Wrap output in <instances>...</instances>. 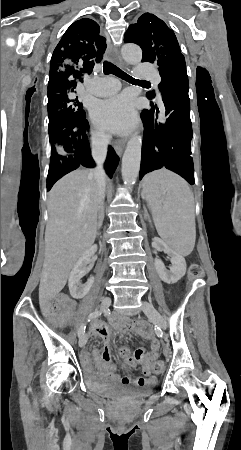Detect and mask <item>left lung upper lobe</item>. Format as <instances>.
Wrapping results in <instances>:
<instances>
[{
    "label": "left lung upper lobe",
    "instance_id": "left-lung-upper-lobe-1",
    "mask_svg": "<svg viewBox=\"0 0 241 450\" xmlns=\"http://www.w3.org/2000/svg\"><path fill=\"white\" fill-rule=\"evenodd\" d=\"M126 43L138 44L142 51V62L156 63L161 76L159 89L162 92L167 79L173 77L182 85L188 86L186 75V64L184 56L174 32L167 27L164 21L151 13H144L132 24L125 33ZM146 96L153 99L154 91L148 92Z\"/></svg>",
    "mask_w": 241,
    "mask_h": 450
}]
</instances>
